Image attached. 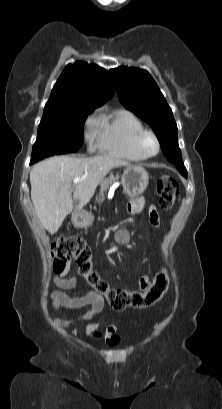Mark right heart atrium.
<instances>
[{
  "instance_id": "d8ad5b80",
  "label": "right heart atrium",
  "mask_w": 222,
  "mask_h": 409,
  "mask_svg": "<svg viewBox=\"0 0 222 409\" xmlns=\"http://www.w3.org/2000/svg\"><path fill=\"white\" fill-rule=\"evenodd\" d=\"M99 135V118L95 113L89 115L84 123V136L90 149L96 146Z\"/></svg>"
}]
</instances>
